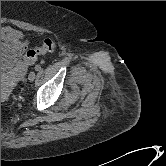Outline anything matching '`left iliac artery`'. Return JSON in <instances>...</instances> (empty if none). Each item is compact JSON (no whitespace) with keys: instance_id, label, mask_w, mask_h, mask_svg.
Wrapping results in <instances>:
<instances>
[{"instance_id":"44dca946","label":"left iliac artery","mask_w":166,"mask_h":166,"mask_svg":"<svg viewBox=\"0 0 166 166\" xmlns=\"http://www.w3.org/2000/svg\"><path fill=\"white\" fill-rule=\"evenodd\" d=\"M40 69H41L40 65H36V66H35V70H36V71H39Z\"/></svg>"}]
</instances>
